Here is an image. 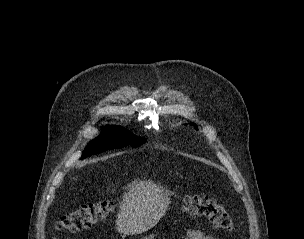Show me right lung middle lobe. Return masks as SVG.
Returning a JSON list of instances; mask_svg holds the SVG:
<instances>
[{
    "label": "right lung middle lobe",
    "mask_w": 304,
    "mask_h": 239,
    "mask_svg": "<svg viewBox=\"0 0 304 239\" xmlns=\"http://www.w3.org/2000/svg\"><path fill=\"white\" fill-rule=\"evenodd\" d=\"M146 142L144 138H138L121 126L102 127V133L91 141L82 154V158L102 153L106 150L122 148L126 145L138 147Z\"/></svg>",
    "instance_id": "right-lung-middle-lobe-1"
}]
</instances>
